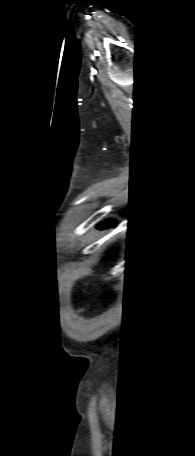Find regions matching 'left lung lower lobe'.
Returning a JSON list of instances; mask_svg holds the SVG:
<instances>
[{
  "label": "left lung lower lobe",
  "mask_w": 195,
  "mask_h": 456,
  "mask_svg": "<svg viewBox=\"0 0 195 456\" xmlns=\"http://www.w3.org/2000/svg\"><path fill=\"white\" fill-rule=\"evenodd\" d=\"M106 224H107V223H105V224H102V226H105Z\"/></svg>",
  "instance_id": "1"
}]
</instances>
